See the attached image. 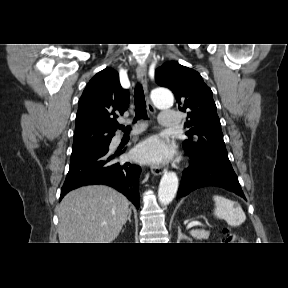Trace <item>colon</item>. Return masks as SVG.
Wrapping results in <instances>:
<instances>
[{
  "instance_id": "colon-1",
  "label": "colon",
  "mask_w": 288,
  "mask_h": 288,
  "mask_svg": "<svg viewBox=\"0 0 288 288\" xmlns=\"http://www.w3.org/2000/svg\"><path fill=\"white\" fill-rule=\"evenodd\" d=\"M223 235L225 240L228 242H232L234 240V235L228 229L223 230Z\"/></svg>"
}]
</instances>
